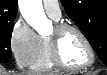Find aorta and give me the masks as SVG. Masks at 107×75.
Masks as SVG:
<instances>
[{
  "mask_svg": "<svg viewBox=\"0 0 107 75\" xmlns=\"http://www.w3.org/2000/svg\"><path fill=\"white\" fill-rule=\"evenodd\" d=\"M19 8L22 16L32 28L41 35L46 33L50 21L45 15L42 0H19Z\"/></svg>",
  "mask_w": 107,
  "mask_h": 75,
  "instance_id": "aorta-1",
  "label": "aorta"
}]
</instances>
